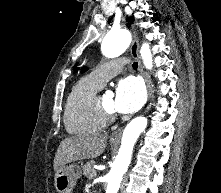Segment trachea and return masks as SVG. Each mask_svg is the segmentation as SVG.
I'll return each instance as SVG.
<instances>
[{
  "mask_svg": "<svg viewBox=\"0 0 221 193\" xmlns=\"http://www.w3.org/2000/svg\"><path fill=\"white\" fill-rule=\"evenodd\" d=\"M132 66H133V68H137L138 67V63L134 62Z\"/></svg>",
  "mask_w": 221,
  "mask_h": 193,
  "instance_id": "3493384b",
  "label": "trachea"
}]
</instances>
